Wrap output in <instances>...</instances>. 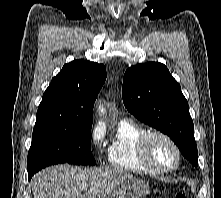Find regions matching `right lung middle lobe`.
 <instances>
[{
  "label": "right lung middle lobe",
  "mask_w": 221,
  "mask_h": 198,
  "mask_svg": "<svg viewBox=\"0 0 221 198\" xmlns=\"http://www.w3.org/2000/svg\"><path fill=\"white\" fill-rule=\"evenodd\" d=\"M91 128L92 125L84 128L34 127L27 159L28 175L58 163L94 165Z\"/></svg>",
  "instance_id": "obj_1"
}]
</instances>
